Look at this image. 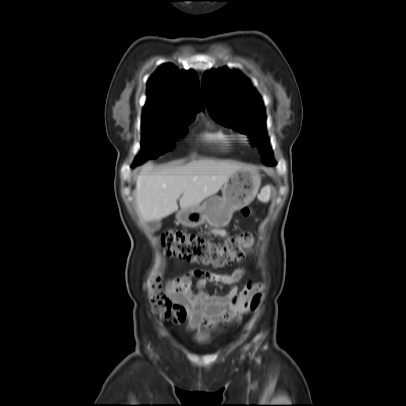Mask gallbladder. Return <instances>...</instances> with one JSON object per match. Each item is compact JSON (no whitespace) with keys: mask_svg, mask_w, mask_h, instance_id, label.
<instances>
[{"mask_svg":"<svg viewBox=\"0 0 406 406\" xmlns=\"http://www.w3.org/2000/svg\"><path fill=\"white\" fill-rule=\"evenodd\" d=\"M147 227L152 231H158L161 228V222L160 221H150L146 223Z\"/></svg>","mask_w":406,"mask_h":406,"instance_id":"1","label":"gallbladder"}]
</instances>
